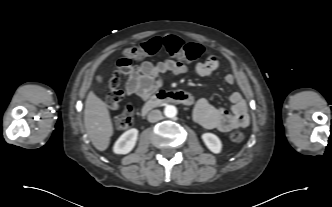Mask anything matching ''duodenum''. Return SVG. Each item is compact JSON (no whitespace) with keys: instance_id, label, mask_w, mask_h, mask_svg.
Segmentation results:
<instances>
[{"instance_id":"410a0bca","label":"duodenum","mask_w":332,"mask_h":207,"mask_svg":"<svg viewBox=\"0 0 332 207\" xmlns=\"http://www.w3.org/2000/svg\"><path fill=\"white\" fill-rule=\"evenodd\" d=\"M167 103L189 106L193 104V98L189 93L181 90L159 91L143 105L141 114L147 115L154 108Z\"/></svg>"}]
</instances>
